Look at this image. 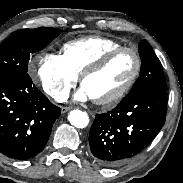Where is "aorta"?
<instances>
[{"mask_svg":"<svg viewBox=\"0 0 183 183\" xmlns=\"http://www.w3.org/2000/svg\"><path fill=\"white\" fill-rule=\"evenodd\" d=\"M68 120L76 128H85L89 123L88 114L78 109H74L69 113Z\"/></svg>","mask_w":183,"mask_h":183,"instance_id":"aorta-1","label":"aorta"}]
</instances>
